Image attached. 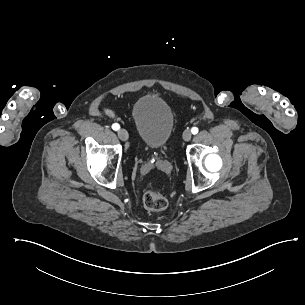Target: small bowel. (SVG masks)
Returning <instances> with one entry per match:
<instances>
[{
	"instance_id": "1",
	"label": "small bowel",
	"mask_w": 305,
	"mask_h": 305,
	"mask_svg": "<svg viewBox=\"0 0 305 305\" xmlns=\"http://www.w3.org/2000/svg\"><path fill=\"white\" fill-rule=\"evenodd\" d=\"M104 113L109 117H115V113L111 109L105 108Z\"/></svg>"
}]
</instances>
